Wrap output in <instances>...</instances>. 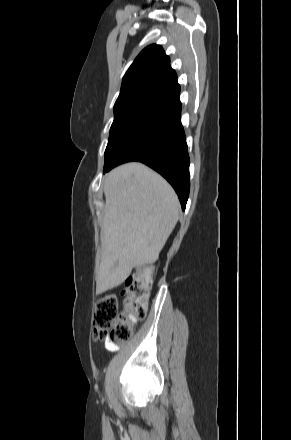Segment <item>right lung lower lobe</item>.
<instances>
[{
    "mask_svg": "<svg viewBox=\"0 0 291 440\" xmlns=\"http://www.w3.org/2000/svg\"><path fill=\"white\" fill-rule=\"evenodd\" d=\"M180 86L155 98L105 172L129 161H139L160 173L178 194L185 210L189 195V155L181 124Z\"/></svg>",
    "mask_w": 291,
    "mask_h": 440,
    "instance_id": "1",
    "label": "right lung lower lobe"
}]
</instances>
